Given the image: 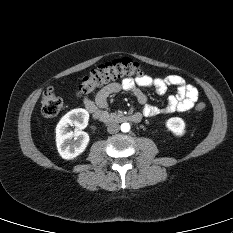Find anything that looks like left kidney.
<instances>
[{"instance_id": "obj_1", "label": "left kidney", "mask_w": 233, "mask_h": 233, "mask_svg": "<svg viewBox=\"0 0 233 233\" xmlns=\"http://www.w3.org/2000/svg\"><path fill=\"white\" fill-rule=\"evenodd\" d=\"M166 127L176 136H182L185 133V122L180 117H173L166 121Z\"/></svg>"}]
</instances>
